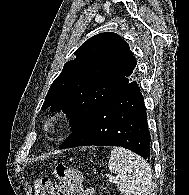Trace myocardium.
<instances>
[{"label": "myocardium", "mask_w": 189, "mask_h": 195, "mask_svg": "<svg viewBox=\"0 0 189 195\" xmlns=\"http://www.w3.org/2000/svg\"><path fill=\"white\" fill-rule=\"evenodd\" d=\"M62 123H63L62 121H58L57 124H56V127L60 128L62 126Z\"/></svg>", "instance_id": "1"}]
</instances>
